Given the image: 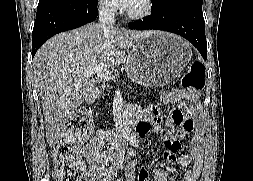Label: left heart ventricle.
<instances>
[{
	"label": "left heart ventricle",
	"mask_w": 253,
	"mask_h": 181,
	"mask_svg": "<svg viewBox=\"0 0 253 181\" xmlns=\"http://www.w3.org/2000/svg\"><path fill=\"white\" fill-rule=\"evenodd\" d=\"M145 0H137L136 4L129 10L131 12L140 11L144 7Z\"/></svg>",
	"instance_id": "obj_1"
}]
</instances>
